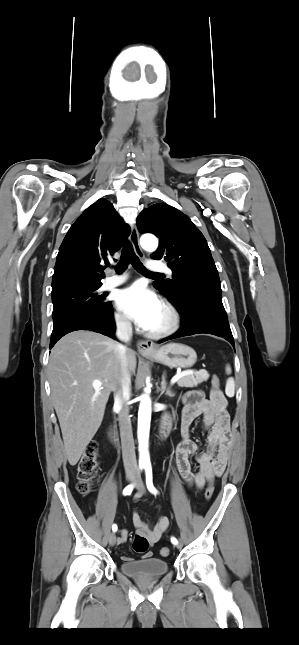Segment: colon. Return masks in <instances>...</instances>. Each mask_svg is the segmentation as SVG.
<instances>
[{
    "mask_svg": "<svg viewBox=\"0 0 299 645\" xmlns=\"http://www.w3.org/2000/svg\"><path fill=\"white\" fill-rule=\"evenodd\" d=\"M213 391H220L219 378L214 375L211 380ZM97 456L98 450L95 443L89 444L84 450L77 466V489L81 494H88L91 491L92 485L97 475ZM214 492L213 485H208L205 490V498L210 500ZM133 550L136 553H146L149 547L147 539L141 535H136L132 543ZM162 556H168L170 549L164 547L160 551Z\"/></svg>",
    "mask_w": 299,
    "mask_h": 645,
    "instance_id": "1",
    "label": "colon"
}]
</instances>
